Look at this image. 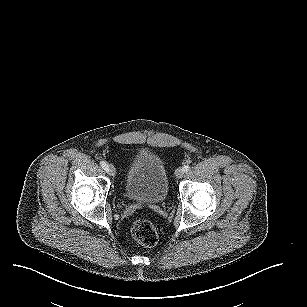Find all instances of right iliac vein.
Returning <instances> with one entry per match:
<instances>
[{
	"instance_id": "obj_1",
	"label": "right iliac vein",
	"mask_w": 307,
	"mask_h": 307,
	"mask_svg": "<svg viewBox=\"0 0 307 307\" xmlns=\"http://www.w3.org/2000/svg\"><path fill=\"white\" fill-rule=\"evenodd\" d=\"M107 173L111 176H115V173H116V169L114 167V165L112 164H109L108 167H107Z\"/></svg>"
}]
</instances>
